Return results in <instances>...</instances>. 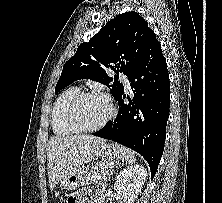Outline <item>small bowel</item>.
Returning a JSON list of instances; mask_svg holds the SVG:
<instances>
[{
    "instance_id": "1",
    "label": "small bowel",
    "mask_w": 222,
    "mask_h": 203,
    "mask_svg": "<svg viewBox=\"0 0 222 203\" xmlns=\"http://www.w3.org/2000/svg\"><path fill=\"white\" fill-rule=\"evenodd\" d=\"M87 194H88V192H87ZM72 203H89V201H85V200L79 201L76 198L72 197ZM96 203H101V202H96Z\"/></svg>"
}]
</instances>
